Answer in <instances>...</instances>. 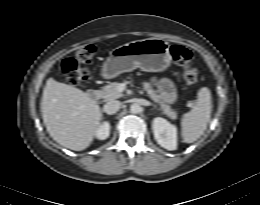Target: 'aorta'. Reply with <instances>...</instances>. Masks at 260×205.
Here are the masks:
<instances>
[{"label": "aorta", "mask_w": 260, "mask_h": 205, "mask_svg": "<svg viewBox=\"0 0 260 205\" xmlns=\"http://www.w3.org/2000/svg\"><path fill=\"white\" fill-rule=\"evenodd\" d=\"M141 111V107L139 104L137 103H134L130 106V112L133 113V114H137Z\"/></svg>", "instance_id": "aorta-1"}]
</instances>
